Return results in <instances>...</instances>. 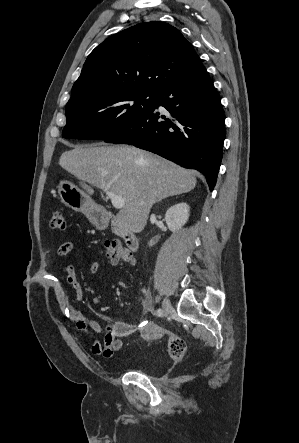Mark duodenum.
<instances>
[{"instance_id":"obj_1","label":"duodenum","mask_w":299,"mask_h":443,"mask_svg":"<svg viewBox=\"0 0 299 443\" xmlns=\"http://www.w3.org/2000/svg\"><path fill=\"white\" fill-rule=\"evenodd\" d=\"M98 225H109L112 230L123 238L127 247L132 251L139 249V240L133 231H131L126 225H124L117 217L108 213L104 214V220H97Z\"/></svg>"}]
</instances>
